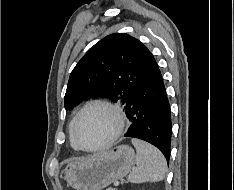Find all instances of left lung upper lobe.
Listing matches in <instances>:
<instances>
[{"label":"left lung upper lobe","instance_id":"obj_1","mask_svg":"<svg viewBox=\"0 0 234 190\" xmlns=\"http://www.w3.org/2000/svg\"><path fill=\"white\" fill-rule=\"evenodd\" d=\"M145 46L126 33L106 36L77 63L64 98L66 110L91 97L121 102L124 110L144 80Z\"/></svg>","mask_w":234,"mask_h":190}]
</instances>
